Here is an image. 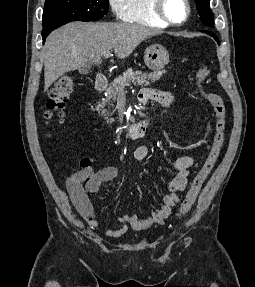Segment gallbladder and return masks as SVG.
<instances>
[{
    "mask_svg": "<svg viewBox=\"0 0 255 287\" xmlns=\"http://www.w3.org/2000/svg\"><path fill=\"white\" fill-rule=\"evenodd\" d=\"M89 70L90 68H79V74H88Z\"/></svg>",
    "mask_w": 255,
    "mask_h": 287,
    "instance_id": "gallbladder-1",
    "label": "gallbladder"
}]
</instances>
